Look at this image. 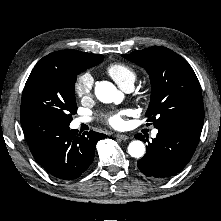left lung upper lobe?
<instances>
[{
  "label": "left lung upper lobe",
  "mask_w": 221,
  "mask_h": 221,
  "mask_svg": "<svg viewBox=\"0 0 221 221\" xmlns=\"http://www.w3.org/2000/svg\"><path fill=\"white\" fill-rule=\"evenodd\" d=\"M123 57L145 68L150 76L152 92L146 116L155 128L182 120L204 121L201 87L184 58L165 47H150Z\"/></svg>",
  "instance_id": "5c2ea615"
}]
</instances>
